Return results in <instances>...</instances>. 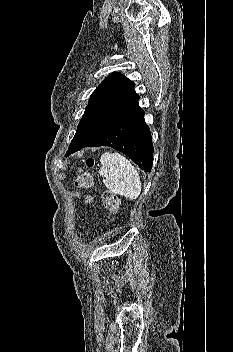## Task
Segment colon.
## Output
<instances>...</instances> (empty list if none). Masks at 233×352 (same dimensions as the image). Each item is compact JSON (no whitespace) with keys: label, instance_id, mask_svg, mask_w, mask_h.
Wrapping results in <instances>:
<instances>
[{"label":"colon","instance_id":"1","mask_svg":"<svg viewBox=\"0 0 233 352\" xmlns=\"http://www.w3.org/2000/svg\"><path fill=\"white\" fill-rule=\"evenodd\" d=\"M86 165H94V160L92 158L87 159ZM74 184L78 188L87 189L92 185V177L86 172H80L76 177ZM102 203L105 210L110 214L111 221H114L120 207V199L115 193L111 191H105L102 194Z\"/></svg>","mask_w":233,"mask_h":352}]
</instances>
